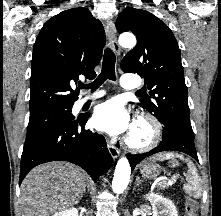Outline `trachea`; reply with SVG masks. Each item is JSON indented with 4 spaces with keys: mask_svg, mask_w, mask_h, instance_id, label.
Wrapping results in <instances>:
<instances>
[{
    "mask_svg": "<svg viewBox=\"0 0 221 216\" xmlns=\"http://www.w3.org/2000/svg\"><path fill=\"white\" fill-rule=\"evenodd\" d=\"M115 61H116V57H115L114 52L110 48H107L103 56V65H102V70L99 76L91 84H80L79 88L91 89V91H95L107 79L113 80V81L116 80ZM137 94H143V92L138 91Z\"/></svg>",
    "mask_w": 221,
    "mask_h": 216,
    "instance_id": "1",
    "label": "trachea"
}]
</instances>
